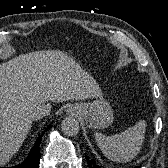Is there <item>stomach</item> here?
<instances>
[{"mask_svg":"<svg viewBox=\"0 0 168 168\" xmlns=\"http://www.w3.org/2000/svg\"><path fill=\"white\" fill-rule=\"evenodd\" d=\"M80 106L82 107L81 116L89 128H106L113 122L112 108L103 97Z\"/></svg>","mask_w":168,"mask_h":168,"instance_id":"obj_1","label":"stomach"}]
</instances>
